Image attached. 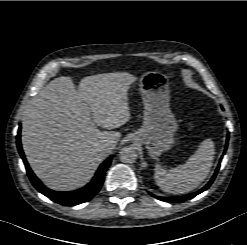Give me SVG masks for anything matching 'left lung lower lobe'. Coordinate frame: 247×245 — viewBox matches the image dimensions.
I'll return each instance as SVG.
<instances>
[{"mask_svg":"<svg viewBox=\"0 0 247 245\" xmlns=\"http://www.w3.org/2000/svg\"><path fill=\"white\" fill-rule=\"evenodd\" d=\"M228 138V136H227ZM226 147H227V143H226ZM219 167L220 165H218L214 175L212 176L211 180L209 181V183L203 187L202 189H200L199 191L195 192V193H192L190 195H187V196H184V197H177V198H162V197H158V196H154L155 198L161 200V201H165V202H177V203H180V202H183V201H186V200H189L193 197H195L196 195L202 193L203 191H205L206 189H208L210 187V185L213 183L218 171H219Z\"/></svg>","mask_w":247,"mask_h":245,"instance_id":"obj_1","label":"left lung lower lobe"}]
</instances>
